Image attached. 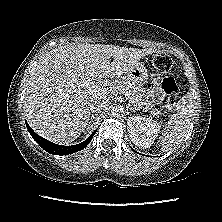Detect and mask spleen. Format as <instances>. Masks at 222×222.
<instances>
[{
  "instance_id": "obj_1",
  "label": "spleen",
  "mask_w": 222,
  "mask_h": 222,
  "mask_svg": "<svg viewBox=\"0 0 222 222\" xmlns=\"http://www.w3.org/2000/svg\"><path fill=\"white\" fill-rule=\"evenodd\" d=\"M194 113L193 96L191 93H187L177 102L176 112L169 119L164 133L160 137L162 151H169L184 141L192 124Z\"/></svg>"
}]
</instances>
